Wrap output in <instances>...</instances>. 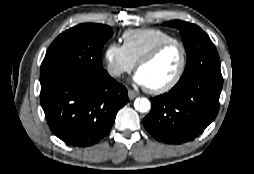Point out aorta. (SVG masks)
Listing matches in <instances>:
<instances>
[{
    "mask_svg": "<svg viewBox=\"0 0 254 174\" xmlns=\"http://www.w3.org/2000/svg\"><path fill=\"white\" fill-rule=\"evenodd\" d=\"M134 107L141 113L148 112L151 108V103L147 98H138L134 102Z\"/></svg>",
    "mask_w": 254,
    "mask_h": 174,
    "instance_id": "obj_1",
    "label": "aorta"
}]
</instances>
